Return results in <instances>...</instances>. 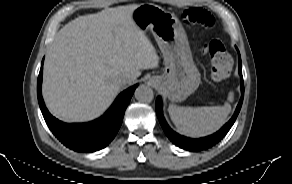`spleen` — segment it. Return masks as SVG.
I'll return each instance as SVG.
<instances>
[{
	"mask_svg": "<svg viewBox=\"0 0 292 184\" xmlns=\"http://www.w3.org/2000/svg\"><path fill=\"white\" fill-rule=\"evenodd\" d=\"M228 100H233L230 93ZM231 106L225 103L224 106L212 107H180L169 105L168 112L179 133L193 137H203L217 131L225 122Z\"/></svg>",
	"mask_w": 292,
	"mask_h": 184,
	"instance_id": "3e777b00",
	"label": "spleen"
}]
</instances>
